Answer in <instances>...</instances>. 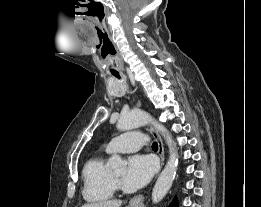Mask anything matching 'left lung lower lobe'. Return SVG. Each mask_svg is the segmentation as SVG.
I'll return each instance as SVG.
<instances>
[{"label": "left lung lower lobe", "instance_id": "left-lung-lower-lobe-1", "mask_svg": "<svg viewBox=\"0 0 261 207\" xmlns=\"http://www.w3.org/2000/svg\"><path fill=\"white\" fill-rule=\"evenodd\" d=\"M169 207H178V203L177 201L174 199L171 204L169 205Z\"/></svg>", "mask_w": 261, "mask_h": 207}]
</instances>
